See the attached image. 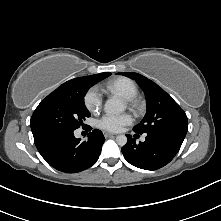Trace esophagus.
<instances>
[{
	"mask_svg": "<svg viewBox=\"0 0 221 221\" xmlns=\"http://www.w3.org/2000/svg\"><path fill=\"white\" fill-rule=\"evenodd\" d=\"M104 136H105V138H109V137L115 136V134L110 133V132H104Z\"/></svg>",
	"mask_w": 221,
	"mask_h": 221,
	"instance_id": "1",
	"label": "esophagus"
}]
</instances>
